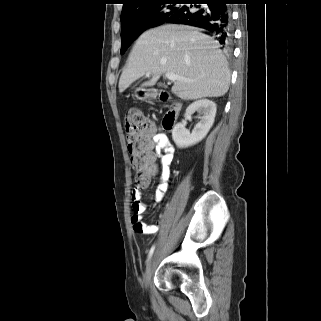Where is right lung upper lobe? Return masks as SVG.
I'll return each instance as SVG.
<instances>
[{
	"label": "right lung upper lobe",
	"instance_id": "1",
	"mask_svg": "<svg viewBox=\"0 0 321 321\" xmlns=\"http://www.w3.org/2000/svg\"><path fill=\"white\" fill-rule=\"evenodd\" d=\"M159 0H124L123 9L121 12V18L130 14L136 13L142 8L153 4Z\"/></svg>",
	"mask_w": 321,
	"mask_h": 321
}]
</instances>
